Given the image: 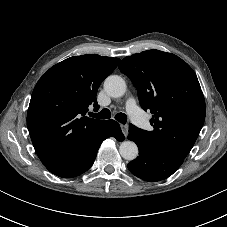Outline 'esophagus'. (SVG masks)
<instances>
[{
    "label": "esophagus",
    "mask_w": 227,
    "mask_h": 227,
    "mask_svg": "<svg viewBox=\"0 0 227 227\" xmlns=\"http://www.w3.org/2000/svg\"><path fill=\"white\" fill-rule=\"evenodd\" d=\"M121 129H122V132H123V134H124V136L125 137H127L128 136V125H121Z\"/></svg>",
    "instance_id": "1"
}]
</instances>
